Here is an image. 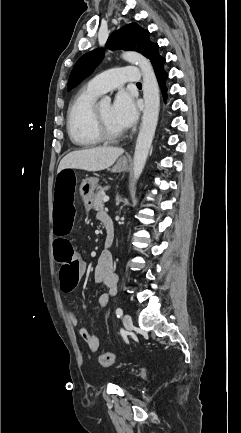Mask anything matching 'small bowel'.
I'll use <instances>...</instances> for the list:
<instances>
[{
  "instance_id": "small-bowel-1",
  "label": "small bowel",
  "mask_w": 241,
  "mask_h": 433,
  "mask_svg": "<svg viewBox=\"0 0 241 433\" xmlns=\"http://www.w3.org/2000/svg\"><path fill=\"white\" fill-rule=\"evenodd\" d=\"M74 172V170H73ZM75 173V172H74ZM57 179V178H56ZM56 182V180H55ZM107 215L105 212H99L97 215V218L101 221L103 216ZM59 239V237L57 238ZM113 259L112 256L107 252H103L101 253V255L99 256L98 259V263L95 267L94 270V281L107 288L109 290V293H104L101 294L98 297V306L102 309L106 308L109 304L110 301V296L114 295L116 293L117 290V275L114 273L113 271ZM61 278V276H60ZM68 318L70 323L73 326H78L79 324V319L77 317V315L73 312H69L68 313ZM79 334L80 337L86 342L89 350L91 352H97L99 347H100V343H99V339L98 337L89 332L86 328L81 327L79 329Z\"/></svg>"
}]
</instances>
